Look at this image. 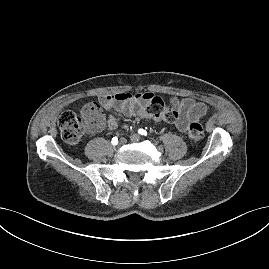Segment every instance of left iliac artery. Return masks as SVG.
Wrapping results in <instances>:
<instances>
[{
  "instance_id": "1",
  "label": "left iliac artery",
  "mask_w": 269,
  "mask_h": 269,
  "mask_svg": "<svg viewBox=\"0 0 269 269\" xmlns=\"http://www.w3.org/2000/svg\"><path fill=\"white\" fill-rule=\"evenodd\" d=\"M138 133H139L140 135H143V136H146V135H147V131L144 130V129H142V128H140V129L138 130Z\"/></svg>"
}]
</instances>
